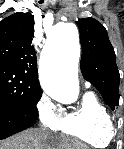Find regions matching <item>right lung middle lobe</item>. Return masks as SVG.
I'll return each instance as SVG.
<instances>
[{"mask_svg":"<svg viewBox=\"0 0 124 149\" xmlns=\"http://www.w3.org/2000/svg\"><path fill=\"white\" fill-rule=\"evenodd\" d=\"M41 96V87L25 74L0 67V103L22 106L38 113L36 105Z\"/></svg>","mask_w":124,"mask_h":149,"instance_id":"right-lung-middle-lobe-1","label":"right lung middle lobe"}]
</instances>
